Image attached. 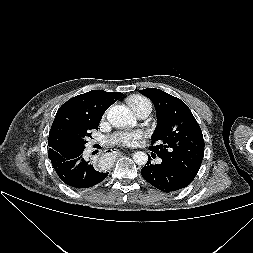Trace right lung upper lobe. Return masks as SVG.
Here are the masks:
<instances>
[{"mask_svg":"<svg viewBox=\"0 0 253 253\" xmlns=\"http://www.w3.org/2000/svg\"><path fill=\"white\" fill-rule=\"evenodd\" d=\"M122 95L120 92L92 90L64 103L58 109L49 133L48 155L76 149L82 139L91 136V130L98 129L104 112Z\"/></svg>","mask_w":253,"mask_h":253,"instance_id":"right-lung-upper-lobe-1","label":"right lung upper lobe"}]
</instances>
